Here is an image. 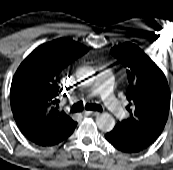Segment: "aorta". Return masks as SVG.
<instances>
[{
  "label": "aorta",
  "instance_id": "762f6f07",
  "mask_svg": "<svg viewBox=\"0 0 173 170\" xmlns=\"http://www.w3.org/2000/svg\"><path fill=\"white\" fill-rule=\"evenodd\" d=\"M89 75L90 72L88 70H83L80 74V77ZM96 124L100 130L109 132L115 126V119L109 113H102L96 117Z\"/></svg>",
  "mask_w": 173,
  "mask_h": 170
}]
</instances>
